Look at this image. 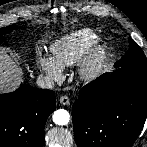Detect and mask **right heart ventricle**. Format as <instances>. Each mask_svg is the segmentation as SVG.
<instances>
[{"label": "right heart ventricle", "instance_id": "obj_1", "mask_svg": "<svg viewBox=\"0 0 147 147\" xmlns=\"http://www.w3.org/2000/svg\"><path fill=\"white\" fill-rule=\"evenodd\" d=\"M98 40L96 32L83 28L66 34L50 45L52 58L62 67L78 63Z\"/></svg>", "mask_w": 147, "mask_h": 147}]
</instances>
